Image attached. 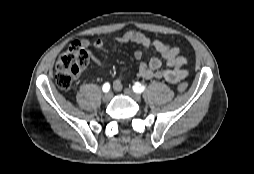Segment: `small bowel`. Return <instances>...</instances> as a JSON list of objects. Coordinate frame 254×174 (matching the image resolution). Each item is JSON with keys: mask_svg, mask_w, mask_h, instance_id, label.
<instances>
[{"mask_svg": "<svg viewBox=\"0 0 254 174\" xmlns=\"http://www.w3.org/2000/svg\"><path fill=\"white\" fill-rule=\"evenodd\" d=\"M110 42L114 44H138L144 48H152L161 55L164 63L161 59L156 57L141 62L138 69V76L141 78L164 79L167 82L174 84L185 79L188 75V71L185 68L188 61L180 54V49L178 47L171 46L159 40H152L137 31H128L121 36L112 38ZM110 42L104 38H100L94 42V47L99 51H107ZM81 44L84 48L90 46V42L87 39H83ZM134 57L137 60H142L144 58L143 51L136 50ZM91 59L100 67L106 66L105 61L94 54H91ZM164 64L166 67H164ZM113 86L116 91H120L122 88V79H117Z\"/></svg>", "mask_w": 254, "mask_h": 174, "instance_id": "c3829d8e", "label": "small bowel"}]
</instances>
